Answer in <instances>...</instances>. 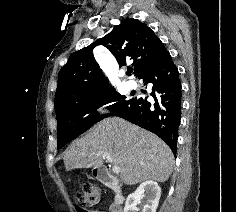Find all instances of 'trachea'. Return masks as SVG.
Segmentation results:
<instances>
[{
    "label": "trachea",
    "instance_id": "obj_1",
    "mask_svg": "<svg viewBox=\"0 0 236 212\" xmlns=\"http://www.w3.org/2000/svg\"><path fill=\"white\" fill-rule=\"evenodd\" d=\"M131 73H132V70L127 71V75H131Z\"/></svg>",
    "mask_w": 236,
    "mask_h": 212
}]
</instances>
